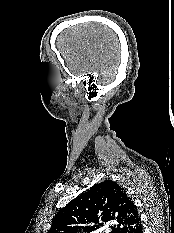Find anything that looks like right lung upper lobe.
I'll return each instance as SVG.
<instances>
[{"mask_svg": "<svg viewBox=\"0 0 174 233\" xmlns=\"http://www.w3.org/2000/svg\"><path fill=\"white\" fill-rule=\"evenodd\" d=\"M107 222L113 224L111 233H134L141 226L136 205L111 180L95 184L70 201L57 213L48 233H77L80 229L89 233Z\"/></svg>", "mask_w": 174, "mask_h": 233, "instance_id": "cb5924a9", "label": "right lung upper lobe"}]
</instances>
